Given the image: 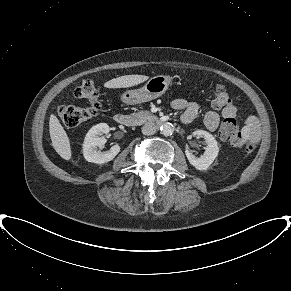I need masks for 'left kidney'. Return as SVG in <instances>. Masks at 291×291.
Instances as JSON below:
<instances>
[{
	"instance_id": "1",
	"label": "left kidney",
	"mask_w": 291,
	"mask_h": 291,
	"mask_svg": "<svg viewBox=\"0 0 291 291\" xmlns=\"http://www.w3.org/2000/svg\"><path fill=\"white\" fill-rule=\"evenodd\" d=\"M193 134L203 137L207 143V146L205 147V152L203 155L200 156L193 155L192 152L186 148V157L190 164L193 165L197 170L204 171L213 163L217 157L219 152L218 143L214 136L207 131L197 130Z\"/></svg>"
}]
</instances>
